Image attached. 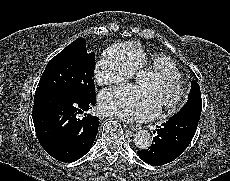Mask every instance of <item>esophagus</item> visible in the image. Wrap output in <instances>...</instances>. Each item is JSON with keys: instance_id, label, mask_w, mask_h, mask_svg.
I'll return each instance as SVG.
<instances>
[{"instance_id": "esophagus-1", "label": "esophagus", "mask_w": 230, "mask_h": 181, "mask_svg": "<svg viewBox=\"0 0 230 181\" xmlns=\"http://www.w3.org/2000/svg\"><path fill=\"white\" fill-rule=\"evenodd\" d=\"M130 128H131L133 131H136V130H140V129H141V126H140V125H130Z\"/></svg>"}]
</instances>
